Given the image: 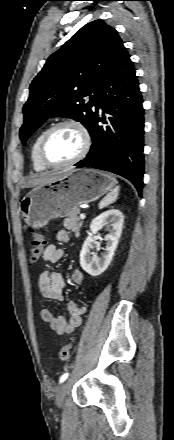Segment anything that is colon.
<instances>
[{"mask_svg": "<svg viewBox=\"0 0 174 440\" xmlns=\"http://www.w3.org/2000/svg\"><path fill=\"white\" fill-rule=\"evenodd\" d=\"M31 244H30V260L31 262H35L39 259L41 256L44 246H45V239L44 237L36 232L35 230H31ZM71 354V345L66 344L64 345L59 352V358L62 361H67L70 358Z\"/></svg>", "mask_w": 174, "mask_h": 440, "instance_id": "colon-1", "label": "colon"}]
</instances>
